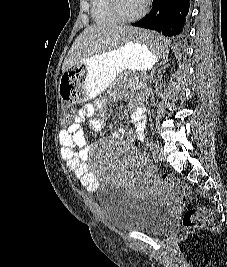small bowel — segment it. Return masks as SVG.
<instances>
[{
    "label": "small bowel",
    "mask_w": 227,
    "mask_h": 267,
    "mask_svg": "<svg viewBox=\"0 0 227 267\" xmlns=\"http://www.w3.org/2000/svg\"><path fill=\"white\" fill-rule=\"evenodd\" d=\"M103 108V102L83 105L76 113V118L72 119V125L61 130L58 135L62 158L89 192L96 191L99 181L96 175L83 162L88 157L89 148L82 131V125L86 121H89L93 129H102L104 125V120L101 115ZM130 126L133 129V137L141 139L145 128L144 114L142 111L138 110L132 114ZM115 136L122 138L124 132L118 131L115 133Z\"/></svg>",
    "instance_id": "obj_1"
}]
</instances>
